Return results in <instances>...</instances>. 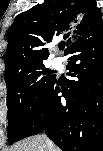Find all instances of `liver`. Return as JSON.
<instances>
[{"label":"liver","instance_id":"1","mask_svg":"<svg viewBox=\"0 0 103 151\" xmlns=\"http://www.w3.org/2000/svg\"><path fill=\"white\" fill-rule=\"evenodd\" d=\"M45 142L43 136L37 135L28 139L23 140L21 143L13 147L12 151H46L44 147ZM50 151H58L54 145L49 148Z\"/></svg>","mask_w":103,"mask_h":151}]
</instances>
